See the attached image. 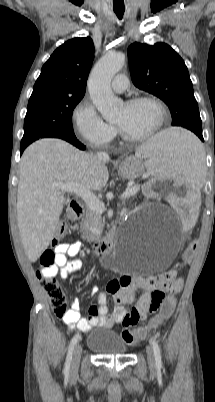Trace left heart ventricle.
Segmentation results:
<instances>
[{
  "label": "left heart ventricle",
  "instance_id": "1",
  "mask_svg": "<svg viewBox=\"0 0 215 402\" xmlns=\"http://www.w3.org/2000/svg\"><path fill=\"white\" fill-rule=\"evenodd\" d=\"M158 120L159 112L154 104L139 102L130 106L123 104L115 122L129 135L141 136L153 130Z\"/></svg>",
  "mask_w": 215,
  "mask_h": 402
}]
</instances>
